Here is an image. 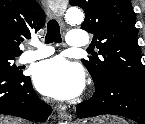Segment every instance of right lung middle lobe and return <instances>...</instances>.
I'll list each match as a JSON object with an SVG mask.
<instances>
[{
	"label": "right lung middle lobe",
	"mask_w": 145,
	"mask_h": 124,
	"mask_svg": "<svg viewBox=\"0 0 145 124\" xmlns=\"http://www.w3.org/2000/svg\"><path fill=\"white\" fill-rule=\"evenodd\" d=\"M17 56L19 55H13L0 51V70L10 72L14 75H21L22 73L19 70L20 68L13 63V60H15V57Z\"/></svg>",
	"instance_id": "1"
}]
</instances>
